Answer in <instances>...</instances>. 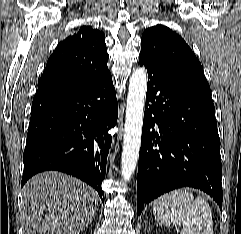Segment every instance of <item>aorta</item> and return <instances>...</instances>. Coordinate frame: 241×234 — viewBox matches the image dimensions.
<instances>
[{"instance_id":"aorta-1","label":"aorta","mask_w":241,"mask_h":234,"mask_svg":"<svg viewBox=\"0 0 241 234\" xmlns=\"http://www.w3.org/2000/svg\"><path fill=\"white\" fill-rule=\"evenodd\" d=\"M147 90V71L144 67L135 69L129 80L121 175L125 182L131 179L139 157L145 96Z\"/></svg>"}]
</instances>
